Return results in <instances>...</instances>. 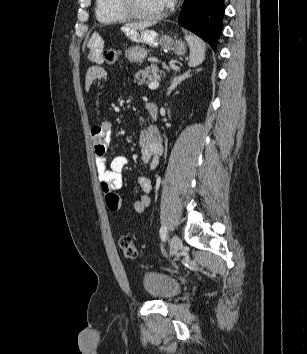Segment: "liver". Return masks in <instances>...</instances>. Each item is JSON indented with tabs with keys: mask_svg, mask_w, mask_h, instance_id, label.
<instances>
[{
	"mask_svg": "<svg viewBox=\"0 0 307 354\" xmlns=\"http://www.w3.org/2000/svg\"><path fill=\"white\" fill-rule=\"evenodd\" d=\"M151 26L150 23H132V24H128L127 27L134 30V31H137V30H144L146 29L147 27Z\"/></svg>",
	"mask_w": 307,
	"mask_h": 354,
	"instance_id": "1",
	"label": "liver"
}]
</instances>
